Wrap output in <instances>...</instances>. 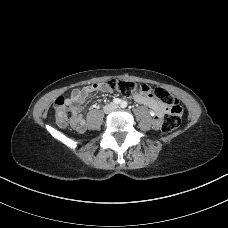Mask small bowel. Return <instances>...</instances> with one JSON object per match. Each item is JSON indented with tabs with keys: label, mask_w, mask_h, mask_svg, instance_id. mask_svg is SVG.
<instances>
[{
	"label": "small bowel",
	"mask_w": 228,
	"mask_h": 228,
	"mask_svg": "<svg viewBox=\"0 0 228 228\" xmlns=\"http://www.w3.org/2000/svg\"><path fill=\"white\" fill-rule=\"evenodd\" d=\"M97 91L107 92L109 89L102 87L101 84H96V86L92 84L83 88H75L65 99V103L77 114L85 102L86 97L89 94ZM133 98L138 103L144 104L153 110L155 115V125L159 126L164 116L165 109L162 104L152 95V93H137L133 95ZM73 127L78 131L83 130L84 120L78 116L73 123Z\"/></svg>",
	"instance_id": "obj_1"
}]
</instances>
